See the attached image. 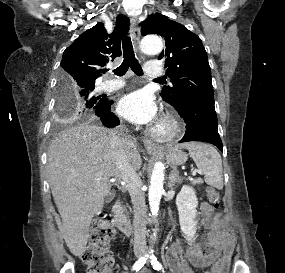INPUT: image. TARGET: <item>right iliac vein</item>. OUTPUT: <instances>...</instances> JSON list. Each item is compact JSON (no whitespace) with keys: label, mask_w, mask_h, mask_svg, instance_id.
Listing matches in <instances>:
<instances>
[{"label":"right iliac vein","mask_w":285,"mask_h":273,"mask_svg":"<svg viewBox=\"0 0 285 273\" xmlns=\"http://www.w3.org/2000/svg\"><path fill=\"white\" fill-rule=\"evenodd\" d=\"M136 256L139 258V257L142 256V254L141 253H137Z\"/></svg>","instance_id":"right-iliac-vein-1"}]
</instances>
